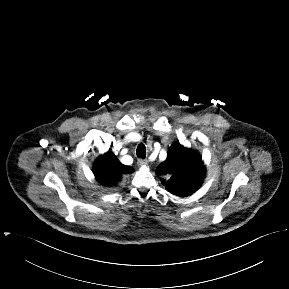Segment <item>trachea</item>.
I'll return each instance as SVG.
<instances>
[{"mask_svg":"<svg viewBox=\"0 0 289 289\" xmlns=\"http://www.w3.org/2000/svg\"><path fill=\"white\" fill-rule=\"evenodd\" d=\"M136 154L139 158L144 159L146 157V147L144 144H139L136 150Z\"/></svg>","mask_w":289,"mask_h":289,"instance_id":"1","label":"trachea"}]
</instances>
